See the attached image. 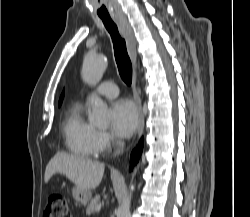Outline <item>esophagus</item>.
<instances>
[{
	"instance_id": "1",
	"label": "esophagus",
	"mask_w": 250,
	"mask_h": 217,
	"mask_svg": "<svg viewBox=\"0 0 250 217\" xmlns=\"http://www.w3.org/2000/svg\"><path fill=\"white\" fill-rule=\"evenodd\" d=\"M119 30L123 37L126 40L127 43V49L129 56L132 60L133 67H134V73H133V80H132V90H133V98L134 102L138 111L139 115V126H138V132H137V140L141 137L143 130H144V114L142 111V102L140 95L136 89V58H137V53H136V40L135 36L133 33V29L131 25L129 24L128 20L126 18H118L115 19Z\"/></svg>"
}]
</instances>
